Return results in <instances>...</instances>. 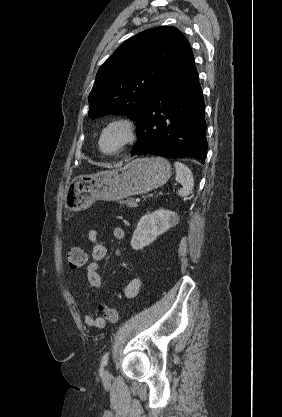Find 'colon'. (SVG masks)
<instances>
[{
    "label": "colon",
    "instance_id": "1",
    "mask_svg": "<svg viewBox=\"0 0 282 417\" xmlns=\"http://www.w3.org/2000/svg\"><path fill=\"white\" fill-rule=\"evenodd\" d=\"M66 259L69 267L72 270H77L85 265L87 256L83 250L75 247L68 251L66 254ZM97 309L99 312L103 313L104 318L109 322L116 323L118 321V313L114 308L108 307L103 303H98Z\"/></svg>",
    "mask_w": 282,
    "mask_h": 417
}]
</instances>
